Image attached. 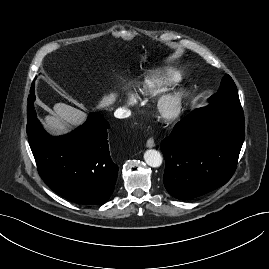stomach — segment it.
I'll list each match as a JSON object with an SVG mask.
<instances>
[{"mask_svg": "<svg viewBox=\"0 0 269 269\" xmlns=\"http://www.w3.org/2000/svg\"><path fill=\"white\" fill-rule=\"evenodd\" d=\"M147 52H141L138 54V59L140 63H145L147 61Z\"/></svg>", "mask_w": 269, "mask_h": 269, "instance_id": "0dacf381", "label": "stomach"}]
</instances>
